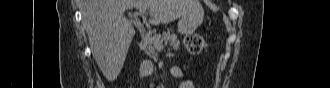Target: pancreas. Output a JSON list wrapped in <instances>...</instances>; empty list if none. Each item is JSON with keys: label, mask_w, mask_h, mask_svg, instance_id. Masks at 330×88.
I'll return each mask as SVG.
<instances>
[{"label": "pancreas", "mask_w": 330, "mask_h": 88, "mask_svg": "<svg viewBox=\"0 0 330 88\" xmlns=\"http://www.w3.org/2000/svg\"><path fill=\"white\" fill-rule=\"evenodd\" d=\"M169 43V45L177 50L179 49V40L174 33H170V31L163 32L162 34H155L153 36L146 35L142 40V48L144 49L145 53L150 55L152 58L157 56L155 43Z\"/></svg>", "instance_id": "obj_1"}]
</instances>
